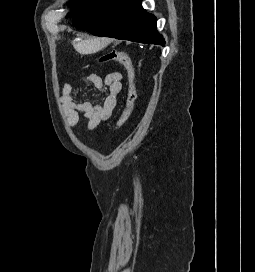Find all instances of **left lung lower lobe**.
Returning <instances> with one entry per match:
<instances>
[{
	"mask_svg": "<svg viewBox=\"0 0 255 272\" xmlns=\"http://www.w3.org/2000/svg\"><path fill=\"white\" fill-rule=\"evenodd\" d=\"M73 25L95 36L160 44L157 19L141 6V0H91L73 16Z\"/></svg>",
	"mask_w": 255,
	"mask_h": 272,
	"instance_id": "0a47b994",
	"label": "left lung lower lobe"
}]
</instances>
